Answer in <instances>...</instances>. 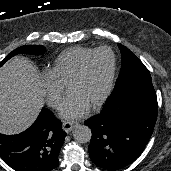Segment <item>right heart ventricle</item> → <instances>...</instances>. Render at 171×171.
<instances>
[{
	"label": "right heart ventricle",
	"mask_w": 171,
	"mask_h": 171,
	"mask_svg": "<svg viewBox=\"0 0 171 171\" xmlns=\"http://www.w3.org/2000/svg\"><path fill=\"white\" fill-rule=\"evenodd\" d=\"M93 50L92 48L84 47L68 49L57 56L49 72L65 86L68 84L81 62Z\"/></svg>",
	"instance_id": "obj_1"
}]
</instances>
